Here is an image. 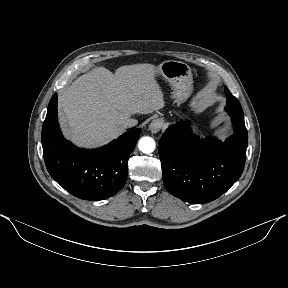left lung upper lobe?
<instances>
[{
    "mask_svg": "<svg viewBox=\"0 0 288 288\" xmlns=\"http://www.w3.org/2000/svg\"><path fill=\"white\" fill-rule=\"evenodd\" d=\"M225 93H226V98H227L225 110L228 113L238 114L239 116H244L241 104L239 103L237 98L234 97L227 88H225Z\"/></svg>",
    "mask_w": 288,
    "mask_h": 288,
    "instance_id": "left-lung-upper-lobe-1",
    "label": "left lung upper lobe"
}]
</instances>
